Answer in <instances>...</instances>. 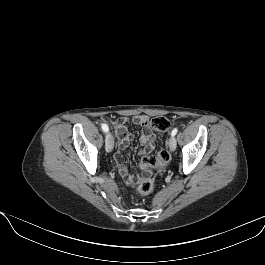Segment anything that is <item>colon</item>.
I'll use <instances>...</instances> for the list:
<instances>
[{
	"label": "colon",
	"instance_id": "colon-1",
	"mask_svg": "<svg viewBox=\"0 0 265 265\" xmlns=\"http://www.w3.org/2000/svg\"><path fill=\"white\" fill-rule=\"evenodd\" d=\"M145 125L150 126L159 132H167L170 121L163 116L153 117L144 121ZM170 160V153L166 149H161L151 156L144 157L140 162V169L148 172L150 169H159L165 166ZM153 188V181L150 176H142L138 180V190L142 194H148Z\"/></svg>",
	"mask_w": 265,
	"mask_h": 265
}]
</instances>
